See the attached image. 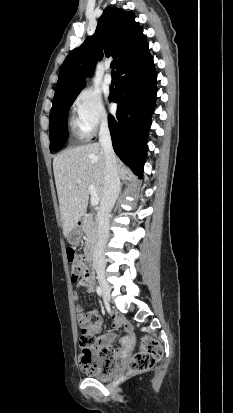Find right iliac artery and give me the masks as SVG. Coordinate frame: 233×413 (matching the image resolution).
<instances>
[{"mask_svg":"<svg viewBox=\"0 0 233 413\" xmlns=\"http://www.w3.org/2000/svg\"><path fill=\"white\" fill-rule=\"evenodd\" d=\"M97 294L102 296V289L99 286L97 287Z\"/></svg>","mask_w":233,"mask_h":413,"instance_id":"82829eb1","label":"right iliac artery"}]
</instances>
